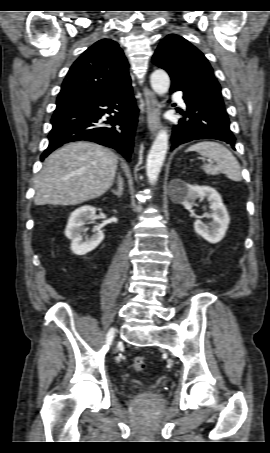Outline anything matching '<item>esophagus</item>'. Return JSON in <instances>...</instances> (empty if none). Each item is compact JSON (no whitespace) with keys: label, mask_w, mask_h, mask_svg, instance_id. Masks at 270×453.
<instances>
[{"label":"esophagus","mask_w":270,"mask_h":453,"mask_svg":"<svg viewBox=\"0 0 270 453\" xmlns=\"http://www.w3.org/2000/svg\"><path fill=\"white\" fill-rule=\"evenodd\" d=\"M146 103L147 124L152 135H154L161 125V107L155 94L148 88H144Z\"/></svg>","instance_id":"obj_1"}]
</instances>
